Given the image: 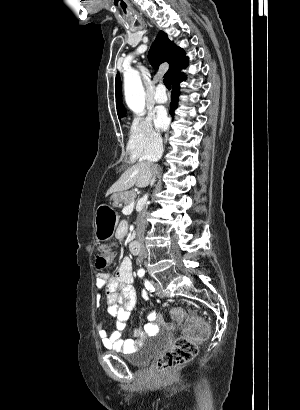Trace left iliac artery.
I'll return each mask as SVG.
<instances>
[{
  "instance_id": "left-iliac-artery-1",
  "label": "left iliac artery",
  "mask_w": 300,
  "mask_h": 410,
  "mask_svg": "<svg viewBox=\"0 0 300 410\" xmlns=\"http://www.w3.org/2000/svg\"><path fill=\"white\" fill-rule=\"evenodd\" d=\"M145 286H146V288H147L150 292H154V291H155V288H154V286L152 285V283H151L150 281L145 280Z\"/></svg>"
}]
</instances>
